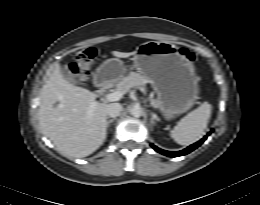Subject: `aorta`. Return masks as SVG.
<instances>
[{"instance_id": "1", "label": "aorta", "mask_w": 260, "mask_h": 205, "mask_svg": "<svg viewBox=\"0 0 260 205\" xmlns=\"http://www.w3.org/2000/svg\"><path fill=\"white\" fill-rule=\"evenodd\" d=\"M129 112L133 117L139 118L143 114V109L139 105H134L129 109Z\"/></svg>"}]
</instances>
